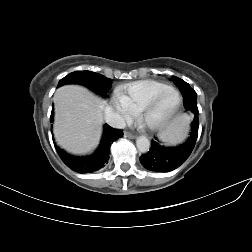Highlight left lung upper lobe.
I'll list each match as a JSON object with an SVG mask.
<instances>
[{
  "instance_id": "5c2ea615",
  "label": "left lung upper lobe",
  "mask_w": 252,
  "mask_h": 252,
  "mask_svg": "<svg viewBox=\"0 0 252 252\" xmlns=\"http://www.w3.org/2000/svg\"><path fill=\"white\" fill-rule=\"evenodd\" d=\"M173 81L174 83L178 86L179 84H188L185 81H183L182 79L178 78V77H173Z\"/></svg>"
}]
</instances>
